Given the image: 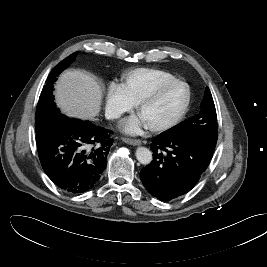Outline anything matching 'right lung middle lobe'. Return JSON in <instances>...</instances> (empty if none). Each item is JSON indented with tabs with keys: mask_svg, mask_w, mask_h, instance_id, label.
Returning a JSON list of instances; mask_svg holds the SVG:
<instances>
[{
	"mask_svg": "<svg viewBox=\"0 0 267 267\" xmlns=\"http://www.w3.org/2000/svg\"><path fill=\"white\" fill-rule=\"evenodd\" d=\"M78 52L71 54L69 57L64 59L62 62L57 64L53 70L50 72L46 84L43 87L41 92L39 102L36 110L35 117V130L39 128L40 125L45 123L47 119L53 115L60 114L59 110L55 107L54 96H53V88L54 82L57 77L61 74V72L66 69L70 63H72Z\"/></svg>",
	"mask_w": 267,
	"mask_h": 267,
	"instance_id": "dd1d6c3e",
	"label": "right lung middle lobe"
}]
</instances>
